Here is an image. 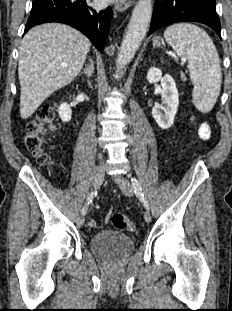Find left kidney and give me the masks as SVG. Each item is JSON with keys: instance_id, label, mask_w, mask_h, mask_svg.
Instances as JSON below:
<instances>
[{"instance_id": "1", "label": "left kidney", "mask_w": 232, "mask_h": 311, "mask_svg": "<svg viewBox=\"0 0 232 311\" xmlns=\"http://www.w3.org/2000/svg\"><path fill=\"white\" fill-rule=\"evenodd\" d=\"M147 80L149 83L161 81L162 104L155 105L152 116L161 129H168L174 122L179 105V94L174 79L166 74L162 76L160 69L152 67L148 70Z\"/></svg>"}]
</instances>
